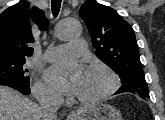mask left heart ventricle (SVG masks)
Instances as JSON below:
<instances>
[{
    "mask_svg": "<svg viewBox=\"0 0 165 120\" xmlns=\"http://www.w3.org/2000/svg\"><path fill=\"white\" fill-rule=\"evenodd\" d=\"M110 79L100 70H86L76 97L93 98L103 93L109 86Z\"/></svg>",
    "mask_w": 165,
    "mask_h": 120,
    "instance_id": "b2bd125f",
    "label": "left heart ventricle"
}]
</instances>
